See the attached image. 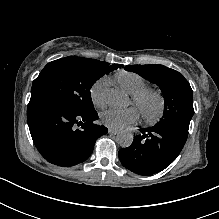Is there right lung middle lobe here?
<instances>
[{
	"mask_svg": "<svg viewBox=\"0 0 219 219\" xmlns=\"http://www.w3.org/2000/svg\"><path fill=\"white\" fill-rule=\"evenodd\" d=\"M121 66L76 56L52 61L34 80L31 98H52L75 111H94L90 93L92 85L106 73Z\"/></svg>",
	"mask_w": 219,
	"mask_h": 219,
	"instance_id": "dd1d6c3e",
	"label": "right lung middle lobe"
}]
</instances>
